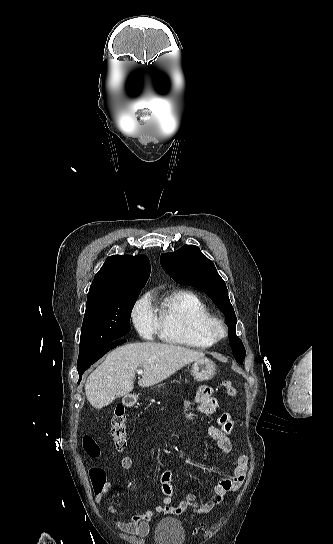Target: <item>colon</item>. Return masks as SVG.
<instances>
[{"mask_svg": "<svg viewBox=\"0 0 333 544\" xmlns=\"http://www.w3.org/2000/svg\"><path fill=\"white\" fill-rule=\"evenodd\" d=\"M223 385L228 398H234L237 395V390L230 381H224ZM111 434L116 448L120 451L124 450L127 444V431L126 414L122 406L117 407L111 417ZM83 445L90 457L96 458L99 455V447L91 437H85ZM89 476L95 492L101 490L106 484V473L101 467H92L89 470Z\"/></svg>", "mask_w": 333, "mask_h": 544, "instance_id": "1", "label": "colon"}]
</instances>
